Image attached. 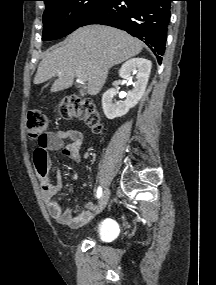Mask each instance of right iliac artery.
I'll return each mask as SVG.
<instances>
[{
	"instance_id": "right-iliac-artery-1",
	"label": "right iliac artery",
	"mask_w": 216,
	"mask_h": 285,
	"mask_svg": "<svg viewBox=\"0 0 216 285\" xmlns=\"http://www.w3.org/2000/svg\"><path fill=\"white\" fill-rule=\"evenodd\" d=\"M102 196V188L98 187L97 189V198L99 199Z\"/></svg>"
}]
</instances>
